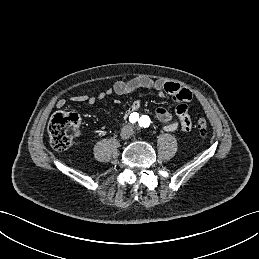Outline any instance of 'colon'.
<instances>
[{"instance_id": "obj_1", "label": "colon", "mask_w": 259, "mask_h": 259, "mask_svg": "<svg viewBox=\"0 0 259 259\" xmlns=\"http://www.w3.org/2000/svg\"><path fill=\"white\" fill-rule=\"evenodd\" d=\"M80 118L74 113H56L49 121L48 133L54 149L62 151L69 148L79 128ZM197 129L206 134L207 121L201 118L197 121Z\"/></svg>"}]
</instances>
